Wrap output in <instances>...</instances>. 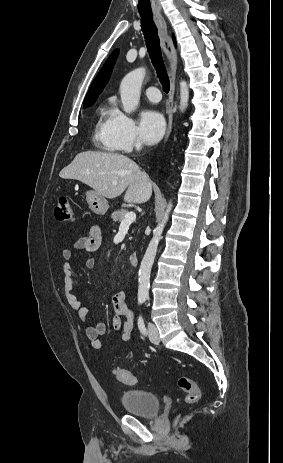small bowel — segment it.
<instances>
[{
  "label": "small bowel",
  "mask_w": 283,
  "mask_h": 463,
  "mask_svg": "<svg viewBox=\"0 0 283 463\" xmlns=\"http://www.w3.org/2000/svg\"><path fill=\"white\" fill-rule=\"evenodd\" d=\"M102 243L101 229L97 225L90 227L88 232L77 239L72 246L63 250V283L64 296L71 308L75 312L80 324L84 328V333L90 341L92 348L99 350L103 347L102 338L106 333V325L103 322L91 324L88 322V310L82 306L79 299L73 291L74 276L72 273V260L74 254L78 251L86 253H94L99 250ZM96 261L92 257L85 260V266L89 269L94 268ZM111 303L114 310L112 325L114 329L120 332L122 341H129L133 336V319L134 313L126 302V294L124 291H118L113 294Z\"/></svg>",
  "instance_id": "obj_1"
}]
</instances>
